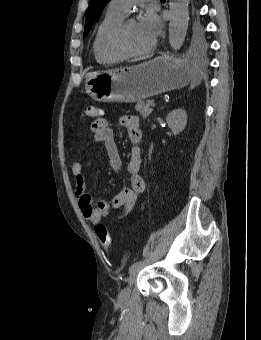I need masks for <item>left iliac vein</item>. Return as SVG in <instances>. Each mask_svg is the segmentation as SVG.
Wrapping results in <instances>:
<instances>
[{
    "label": "left iliac vein",
    "mask_w": 261,
    "mask_h": 340,
    "mask_svg": "<svg viewBox=\"0 0 261 340\" xmlns=\"http://www.w3.org/2000/svg\"><path fill=\"white\" fill-rule=\"evenodd\" d=\"M139 270H140V267L135 268L134 270L131 271L130 276L127 280L126 287L122 289L121 292L119 293V297H118L119 302L124 303L129 299L130 294H131V288L137 279Z\"/></svg>",
    "instance_id": "obj_1"
}]
</instances>
